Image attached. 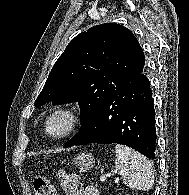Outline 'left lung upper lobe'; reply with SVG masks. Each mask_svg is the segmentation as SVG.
Segmentation results:
<instances>
[{
    "mask_svg": "<svg viewBox=\"0 0 189 195\" xmlns=\"http://www.w3.org/2000/svg\"><path fill=\"white\" fill-rule=\"evenodd\" d=\"M144 65L141 46L129 29L116 23L94 26L68 44L35 106L78 101L83 124L112 92L141 75Z\"/></svg>",
    "mask_w": 189,
    "mask_h": 195,
    "instance_id": "1",
    "label": "left lung upper lobe"
}]
</instances>
